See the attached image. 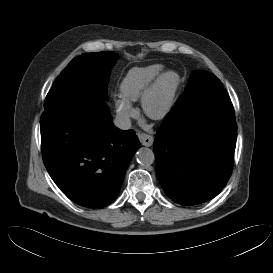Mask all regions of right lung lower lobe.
Here are the masks:
<instances>
[{
  "label": "right lung lower lobe",
  "instance_id": "obj_1",
  "mask_svg": "<svg viewBox=\"0 0 273 273\" xmlns=\"http://www.w3.org/2000/svg\"><path fill=\"white\" fill-rule=\"evenodd\" d=\"M40 122L43 161L60 190L88 208L113 202L139 147L135 132L115 127L105 100L91 93L56 101Z\"/></svg>",
  "mask_w": 273,
  "mask_h": 273
}]
</instances>
